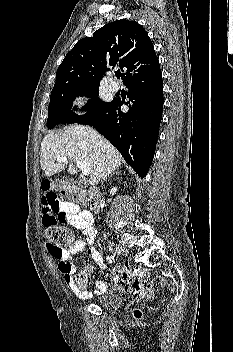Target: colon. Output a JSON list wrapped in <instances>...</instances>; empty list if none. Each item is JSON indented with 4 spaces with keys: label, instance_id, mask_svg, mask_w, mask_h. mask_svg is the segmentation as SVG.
<instances>
[{
    "label": "colon",
    "instance_id": "5ec220e1",
    "mask_svg": "<svg viewBox=\"0 0 233 352\" xmlns=\"http://www.w3.org/2000/svg\"><path fill=\"white\" fill-rule=\"evenodd\" d=\"M70 196L76 201H81L83 199V196L80 193H73ZM44 234L49 244L60 249H66L71 242L70 231L65 227L59 226L58 222H45ZM92 272L93 266L87 265L74 276L75 283L80 290L86 291L91 280ZM113 279L123 285L125 290L129 293L141 297L151 298L156 292V287L151 280L136 275L127 266L116 267L113 271ZM134 315L135 317L140 318L142 313L140 311H135Z\"/></svg>",
    "mask_w": 233,
    "mask_h": 352
}]
</instances>
